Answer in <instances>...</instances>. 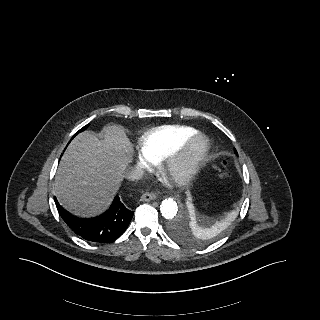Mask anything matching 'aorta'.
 <instances>
[{
    "instance_id": "obj_1",
    "label": "aorta",
    "mask_w": 320,
    "mask_h": 320,
    "mask_svg": "<svg viewBox=\"0 0 320 320\" xmlns=\"http://www.w3.org/2000/svg\"><path fill=\"white\" fill-rule=\"evenodd\" d=\"M160 212L166 219L174 218L178 213V205L176 201H174L173 199L163 200L160 205ZM186 222L187 219L185 217H182L176 224V227H184L186 225Z\"/></svg>"
}]
</instances>
